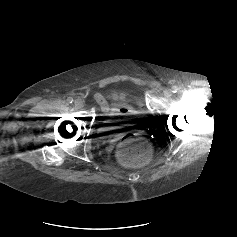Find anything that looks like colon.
I'll use <instances>...</instances> for the list:
<instances>
[{
	"label": "colon",
	"instance_id": "obj_1",
	"mask_svg": "<svg viewBox=\"0 0 237 237\" xmlns=\"http://www.w3.org/2000/svg\"><path fill=\"white\" fill-rule=\"evenodd\" d=\"M118 157L127 165H141L150 158L147 140L138 133L127 134L122 138L118 148Z\"/></svg>",
	"mask_w": 237,
	"mask_h": 237
}]
</instances>
